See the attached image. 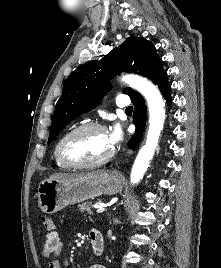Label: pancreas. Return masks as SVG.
I'll return each instance as SVG.
<instances>
[{
	"label": "pancreas",
	"mask_w": 221,
	"mask_h": 268,
	"mask_svg": "<svg viewBox=\"0 0 221 268\" xmlns=\"http://www.w3.org/2000/svg\"><path fill=\"white\" fill-rule=\"evenodd\" d=\"M100 203H102V201L101 200H98L97 202H96V204H100ZM79 209L81 210V211H85V212H87L88 214H92V208H91V203H82V204H80L79 206Z\"/></svg>",
	"instance_id": "pancreas-1"
}]
</instances>
